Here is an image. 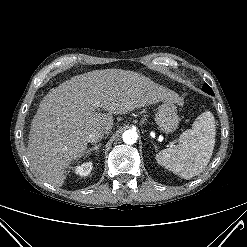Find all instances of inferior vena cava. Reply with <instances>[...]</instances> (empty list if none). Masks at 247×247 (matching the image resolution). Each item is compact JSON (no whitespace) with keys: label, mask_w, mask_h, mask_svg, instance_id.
Returning a JSON list of instances; mask_svg holds the SVG:
<instances>
[{"label":"inferior vena cava","mask_w":247,"mask_h":247,"mask_svg":"<svg viewBox=\"0 0 247 247\" xmlns=\"http://www.w3.org/2000/svg\"><path fill=\"white\" fill-rule=\"evenodd\" d=\"M105 132L101 129L94 130L87 136V141L90 143H97L103 139Z\"/></svg>","instance_id":"inferior-vena-cava-1"}]
</instances>
